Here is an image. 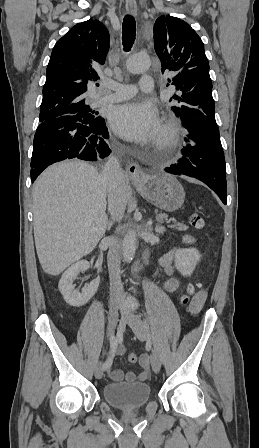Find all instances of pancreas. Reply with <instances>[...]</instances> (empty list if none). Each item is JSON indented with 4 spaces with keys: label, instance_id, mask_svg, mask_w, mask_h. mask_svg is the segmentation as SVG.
<instances>
[{
    "label": "pancreas",
    "instance_id": "pancreas-1",
    "mask_svg": "<svg viewBox=\"0 0 259 448\" xmlns=\"http://www.w3.org/2000/svg\"><path fill=\"white\" fill-rule=\"evenodd\" d=\"M158 217H164L168 218L166 214H160ZM170 222H174V224H171V226H168V228H175V230H179V232H185V230H188L189 226H185V224H181V222H177V220H174V218H170L169 222L167 224H170Z\"/></svg>",
    "mask_w": 259,
    "mask_h": 448
}]
</instances>
